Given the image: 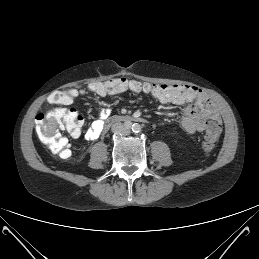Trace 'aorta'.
Masks as SVG:
<instances>
[{"instance_id": "762f6f07", "label": "aorta", "mask_w": 259, "mask_h": 259, "mask_svg": "<svg viewBox=\"0 0 259 259\" xmlns=\"http://www.w3.org/2000/svg\"><path fill=\"white\" fill-rule=\"evenodd\" d=\"M132 130H133L134 132H139V130H140V125L134 124V125L132 126Z\"/></svg>"}]
</instances>
